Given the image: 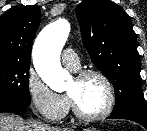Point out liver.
Masks as SVG:
<instances>
[{
  "label": "liver",
  "instance_id": "6515ba94",
  "mask_svg": "<svg viewBox=\"0 0 147 131\" xmlns=\"http://www.w3.org/2000/svg\"><path fill=\"white\" fill-rule=\"evenodd\" d=\"M0 131H73L50 127L40 122H26L18 115L0 113Z\"/></svg>",
  "mask_w": 147,
  "mask_h": 131
}]
</instances>
